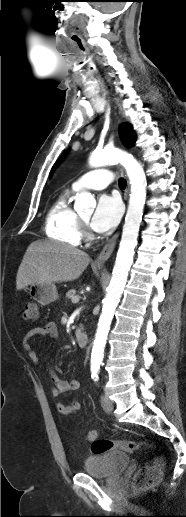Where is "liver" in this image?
Instances as JSON below:
<instances>
[{"mask_svg": "<svg viewBox=\"0 0 186 517\" xmlns=\"http://www.w3.org/2000/svg\"><path fill=\"white\" fill-rule=\"evenodd\" d=\"M89 262V255L73 246L53 241L33 242L19 266L16 289L32 284L73 281L80 277Z\"/></svg>", "mask_w": 186, "mask_h": 517, "instance_id": "liver-1", "label": "liver"}]
</instances>
